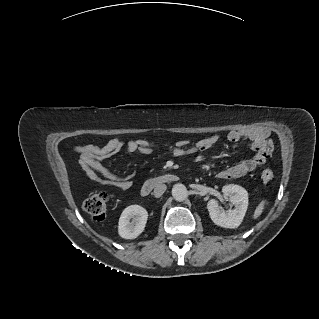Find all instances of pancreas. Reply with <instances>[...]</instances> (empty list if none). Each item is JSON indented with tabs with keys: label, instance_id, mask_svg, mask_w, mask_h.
<instances>
[{
	"label": "pancreas",
	"instance_id": "cf45deb5",
	"mask_svg": "<svg viewBox=\"0 0 319 319\" xmlns=\"http://www.w3.org/2000/svg\"><path fill=\"white\" fill-rule=\"evenodd\" d=\"M155 181H159V178H155Z\"/></svg>",
	"mask_w": 319,
	"mask_h": 319
}]
</instances>
